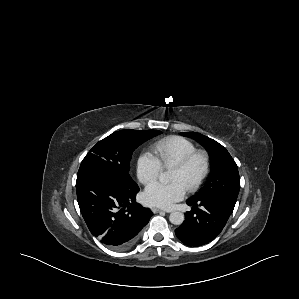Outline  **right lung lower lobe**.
<instances>
[{
	"instance_id": "1",
	"label": "right lung lower lobe",
	"mask_w": 299,
	"mask_h": 299,
	"mask_svg": "<svg viewBox=\"0 0 299 299\" xmlns=\"http://www.w3.org/2000/svg\"><path fill=\"white\" fill-rule=\"evenodd\" d=\"M137 188H127L108 175L77 176V199L90 232L116 251L131 248L153 213L136 202Z\"/></svg>"
}]
</instances>
